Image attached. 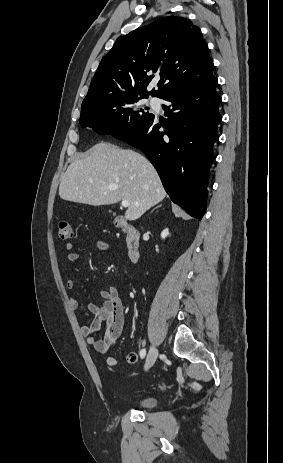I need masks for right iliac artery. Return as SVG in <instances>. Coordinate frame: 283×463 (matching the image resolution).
<instances>
[{
  "instance_id": "obj_1",
  "label": "right iliac artery",
  "mask_w": 283,
  "mask_h": 463,
  "mask_svg": "<svg viewBox=\"0 0 283 463\" xmlns=\"http://www.w3.org/2000/svg\"><path fill=\"white\" fill-rule=\"evenodd\" d=\"M145 355H146V350H145V349H142V350L140 351V357H141V358H144Z\"/></svg>"
}]
</instances>
